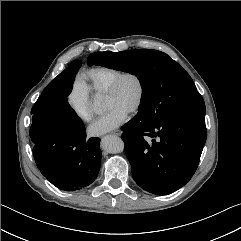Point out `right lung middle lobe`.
Segmentation results:
<instances>
[{
    "instance_id": "obj_1",
    "label": "right lung middle lobe",
    "mask_w": 241,
    "mask_h": 241,
    "mask_svg": "<svg viewBox=\"0 0 241 241\" xmlns=\"http://www.w3.org/2000/svg\"><path fill=\"white\" fill-rule=\"evenodd\" d=\"M79 61L72 62L46 86L31 110L32 125L30 137L40 138L52 134L56 128L63 130H82L85 128L81 119L68 103L75 74L80 68ZM55 123L56 127L54 128Z\"/></svg>"
}]
</instances>
